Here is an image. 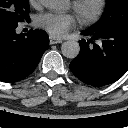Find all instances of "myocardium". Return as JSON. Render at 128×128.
Here are the masks:
<instances>
[{
	"label": "myocardium",
	"mask_w": 128,
	"mask_h": 128,
	"mask_svg": "<svg viewBox=\"0 0 128 128\" xmlns=\"http://www.w3.org/2000/svg\"><path fill=\"white\" fill-rule=\"evenodd\" d=\"M108 0H72V8L84 24L97 21L104 13Z\"/></svg>",
	"instance_id": "f54148a6"
}]
</instances>
